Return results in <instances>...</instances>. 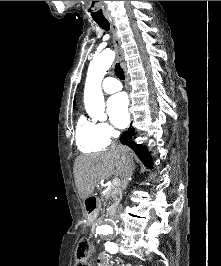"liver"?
Masks as SVG:
<instances>
[{
  "instance_id": "1",
  "label": "liver",
  "mask_w": 221,
  "mask_h": 266,
  "mask_svg": "<svg viewBox=\"0 0 221 266\" xmlns=\"http://www.w3.org/2000/svg\"><path fill=\"white\" fill-rule=\"evenodd\" d=\"M123 153L131 157L130 149L120 146L116 149L80 155L75 159L73 169L75 185L82 200H86L88 194L94 192L99 181L108 179L113 175L122 180L124 173Z\"/></svg>"
}]
</instances>
